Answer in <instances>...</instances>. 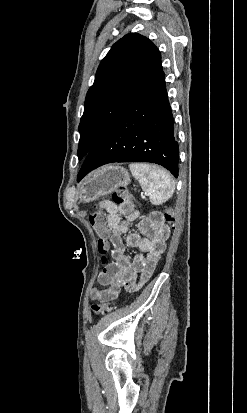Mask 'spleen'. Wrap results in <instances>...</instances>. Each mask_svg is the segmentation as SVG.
Returning a JSON list of instances; mask_svg holds the SVG:
<instances>
[{
    "label": "spleen",
    "instance_id": "spleen-1",
    "mask_svg": "<svg viewBox=\"0 0 247 413\" xmlns=\"http://www.w3.org/2000/svg\"><path fill=\"white\" fill-rule=\"evenodd\" d=\"M129 168L139 180L143 190L150 192V200L152 204H162L172 196L175 190V182L168 170L165 168H146L144 162H132Z\"/></svg>",
    "mask_w": 247,
    "mask_h": 413
}]
</instances>
